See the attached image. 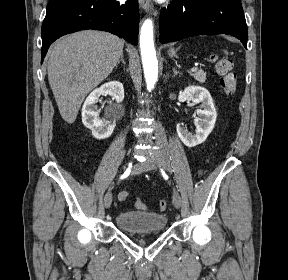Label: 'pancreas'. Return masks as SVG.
<instances>
[{
    "instance_id": "pancreas-1",
    "label": "pancreas",
    "mask_w": 288,
    "mask_h": 280,
    "mask_svg": "<svg viewBox=\"0 0 288 280\" xmlns=\"http://www.w3.org/2000/svg\"><path fill=\"white\" fill-rule=\"evenodd\" d=\"M195 80L199 81L200 83H205L206 81V72L199 70L192 74Z\"/></svg>"
}]
</instances>
